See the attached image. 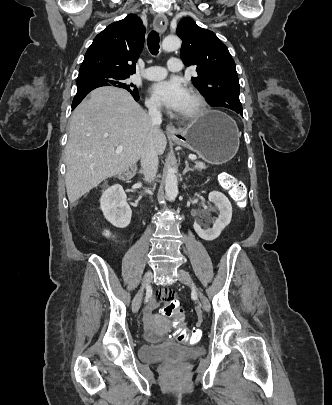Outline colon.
<instances>
[{"label": "colon", "mask_w": 332, "mask_h": 405, "mask_svg": "<svg viewBox=\"0 0 332 405\" xmlns=\"http://www.w3.org/2000/svg\"><path fill=\"white\" fill-rule=\"evenodd\" d=\"M221 186L229 192L233 200L243 207L246 203V187L242 181L229 173H223L219 177ZM172 298V299H166ZM160 306L162 307V317L169 323L170 342H182L187 344H195L200 340L202 327L200 325H187L182 321L188 320L190 312L185 307L181 306L180 300L173 297H159Z\"/></svg>", "instance_id": "5ec220e1"}]
</instances>
